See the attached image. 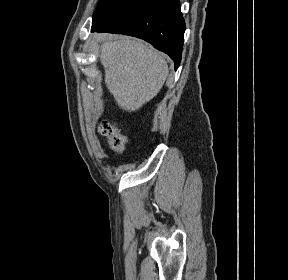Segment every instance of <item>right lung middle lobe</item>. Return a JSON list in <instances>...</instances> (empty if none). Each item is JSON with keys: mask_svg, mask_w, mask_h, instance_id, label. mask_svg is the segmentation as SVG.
Segmentation results:
<instances>
[{"mask_svg": "<svg viewBox=\"0 0 288 280\" xmlns=\"http://www.w3.org/2000/svg\"><path fill=\"white\" fill-rule=\"evenodd\" d=\"M121 0H100L93 14V20L96 19L104 10Z\"/></svg>", "mask_w": 288, "mask_h": 280, "instance_id": "obj_1", "label": "right lung middle lobe"}]
</instances>
